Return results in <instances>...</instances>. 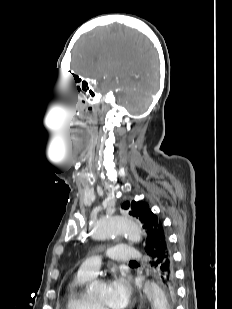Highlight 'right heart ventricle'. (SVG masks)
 Returning <instances> with one entry per match:
<instances>
[{"instance_id":"1","label":"right heart ventricle","mask_w":232,"mask_h":309,"mask_svg":"<svg viewBox=\"0 0 232 309\" xmlns=\"http://www.w3.org/2000/svg\"><path fill=\"white\" fill-rule=\"evenodd\" d=\"M92 277L77 273L67 286L66 309H97L85 287Z\"/></svg>"}]
</instances>
